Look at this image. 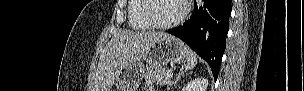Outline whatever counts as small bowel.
Segmentation results:
<instances>
[{
  "instance_id": "obj_1",
  "label": "small bowel",
  "mask_w": 304,
  "mask_h": 91,
  "mask_svg": "<svg viewBox=\"0 0 304 91\" xmlns=\"http://www.w3.org/2000/svg\"><path fill=\"white\" fill-rule=\"evenodd\" d=\"M143 90H152V89H150L149 87H146V88H144Z\"/></svg>"
}]
</instances>
